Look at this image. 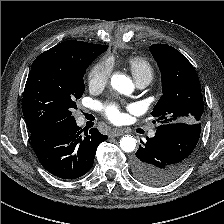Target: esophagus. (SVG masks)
<instances>
[{"label":"esophagus","instance_id":"esophagus-1","mask_svg":"<svg viewBox=\"0 0 224 224\" xmlns=\"http://www.w3.org/2000/svg\"><path fill=\"white\" fill-rule=\"evenodd\" d=\"M123 133H124L123 130H117V129H115V130H113V131L110 132V136L111 137H117V136L122 135Z\"/></svg>","mask_w":224,"mask_h":224}]
</instances>
